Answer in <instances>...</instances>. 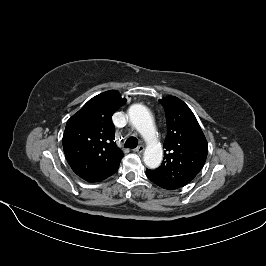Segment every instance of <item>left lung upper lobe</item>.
I'll return each mask as SVG.
<instances>
[{
  "label": "left lung upper lobe",
  "instance_id": "obj_1",
  "mask_svg": "<svg viewBox=\"0 0 266 266\" xmlns=\"http://www.w3.org/2000/svg\"><path fill=\"white\" fill-rule=\"evenodd\" d=\"M159 102L166 114L168 133L164 141V161L152 170L174 188L190 183L205 164L208 144L190 108L179 98L167 96Z\"/></svg>",
  "mask_w": 266,
  "mask_h": 266
}]
</instances>
